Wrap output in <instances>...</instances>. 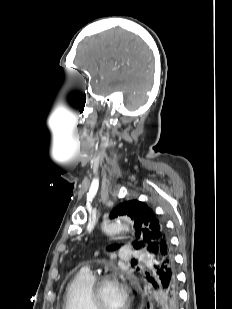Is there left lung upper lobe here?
Here are the masks:
<instances>
[{
    "label": "left lung upper lobe",
    "mask_w": 232,
    "mask_h": 309,
    "mask_svg": "<svg viewBox=\"0 0 232 309\" xmlns=\"http://www.w3.org/2000/svg\"><path fill=\"white\" fill-rule=\"evenodd\" d=\"M129 216L134 221L135 240L132 242L135 249L146 250L152 258L157 254L161 241H168L163 222L145 203L130 200L118 205L110 214V218ZM116 247H109L113 250Z\"/></svg>",
    "instance_id": "1"
}]
</instances>
